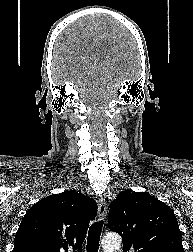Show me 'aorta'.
Segmentation results:
<instances>
[{"label":"aorta","instance_id":"obj_1","mask_svg":"<svg viewBox=\"0 0 193 252\" xmlns=\"http://www.w3.org/2000/svg\"><path fill=\"white\" fill-rule=\"evenodd\" d=\"M122 240L118 234H107L102 239L104 252H114L121 246Z\"/></svg>","mask_w":193,"mask_h":252}]
</instances>
